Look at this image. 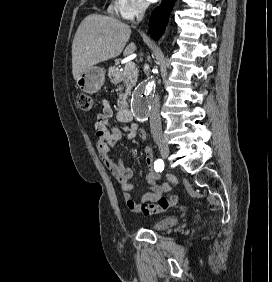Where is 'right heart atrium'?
I'll list each match as a JSON object with an SVG mask.
<instances>
[{
	"instance_id": "right-heart-atrium-1",
	"label": "right heart atrium",
	"mask_w": 272,
	"mask_h": 282,
	"mask_svg": "<svg viewBox=\"0 0 272 282\" xmlns=\"http://www.w3.org/2000/svg\"><path fill=\"white\" fill-rule=\"evenodd\" d=\"M147 0H112L110 12L124 21H132L147 9Z\"/></svg>"
}]
</instances>
